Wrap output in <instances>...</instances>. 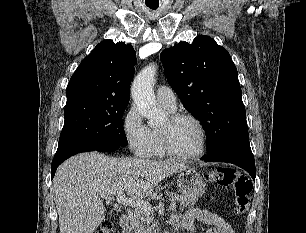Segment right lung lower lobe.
Instances as JSON below:
<instances>
[{
    "mask_svg": "<svg viewBox=\"0 0 306 233\" xmlns=\"http://www.w3.org/2000/svg\"><path fill=\"white\" fill-rule=\"evenodd\" d=\"M119 145H83L76 148H72L60 155H55L52 160V166H51V176L52 178L55 175L57 167L66 159L71 157L72 155H75L77 153L86 152V151H102V152H110L117 150Z\"/></svg>",
    "mask_w": 306,
    "mask_h": 233,
    "instance_id": "obj_1",
    "label": "right lung lower lobe"
}]
</instances>
